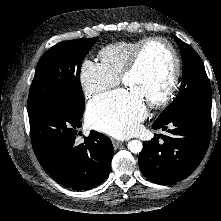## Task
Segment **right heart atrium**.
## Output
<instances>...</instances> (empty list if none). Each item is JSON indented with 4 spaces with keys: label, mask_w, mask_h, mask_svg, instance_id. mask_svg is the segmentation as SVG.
Instances as JSON below:
<instances>
[{
    "label": "right heart atrium",
    "mask_w": 221,
    "mask_h": 221,
    "mask_svg": "<svg viewBox=\"0 0 221 221\" xmlns=\"http://www.w3.org/2000/svg\"><path fill=\"white\" fill-rule=\"evenodd\" d=\"M80 81L85 94L91 98L116 86L119 79L107 73L100 63L85 60L80 69Z\"/></svg>",
    "instance_id": "1"
}]
</instances>
